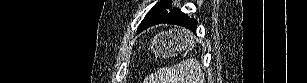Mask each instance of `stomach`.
<instances>
[{
    "instance_id": "obj_1",
    "label": "stomach",
    "mask_w": 307,
    "mask_h": 83,
    "mask_svg": "<svg viewBox=\"0 0 307 83\" xmlns=\"http://www.w3.org/2000/svg\"><path fill=\"white\" fill-rule=\"evenodd\" d=\"M193 44L192 35L175 30L158 34L151 41L150 49L156 56L171 57Z\"/></svg>"
}]
</instances>
